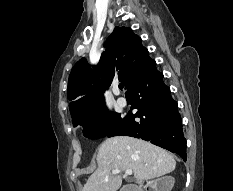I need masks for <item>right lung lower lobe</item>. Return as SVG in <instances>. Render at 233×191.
Masks as SVG:
<instances>
[{
  "mask_svg": "<svg viewBox=\"0 0 233 191\" xmlns=\"http://www.w3.org/2000/svg\"><path fill=\"white\" fill-rule=\"evenodd\" d=\"M156 62L148 58L144 67L128 87L134 97L130 111L107 134L108 137L127 135L141 138L180 155L186 161V140L177 102L163 83V74L156 70ZM140 118L138 122L135 118Z\"/></svg>",
  "mask_w": 233,
  "mask_h": 191,
  "instance_id": "98d812e1",
  "label": "right lung lower lobe"
}]
</instances>
